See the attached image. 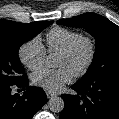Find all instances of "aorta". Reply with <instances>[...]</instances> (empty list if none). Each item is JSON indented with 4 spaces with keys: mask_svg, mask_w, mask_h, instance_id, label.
<instances>
[{
    "mask_svg": "<svg viewBox=\"0 0 119 119\" xmlns=\"http://www.w3.org/2000/svg\"><path fill=\"white\" fill-rule=\"evenodd\" d=\"M45 62L48 67L53 66V61L51 56H47ZM64 105H65L64 100L58 96L52 97L48 102L49 109L55 113L61 112L64 109Z\"/></svg>",
    "mask_w": 119,
    "mask_h": 119,
    "instance_id": "762f6f07",
    "label": "aorta"
}]
</instances>
